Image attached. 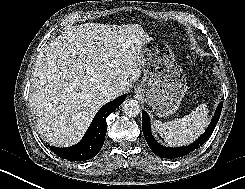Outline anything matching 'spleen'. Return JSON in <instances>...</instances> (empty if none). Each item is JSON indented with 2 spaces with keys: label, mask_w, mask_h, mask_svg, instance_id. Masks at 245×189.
<instances>
[{
  "label": "spleen",
  "mask_w": 245,
  "mask_h": 189,
  "mask_svg": "<svg viewBox=\"0 0 245 189\" xmlns=\"http://www.w3.org/2000/svg\"><path fill=\"white\" fill-rule=\"evenodd\" d=\"M208 113L207 105L201 104L183 118L164 123L155 120L153 125L168 145H187L197 139L207 127Z\"/></svg>",
  "instance_id": "3e777b00"
}]
</instances>
